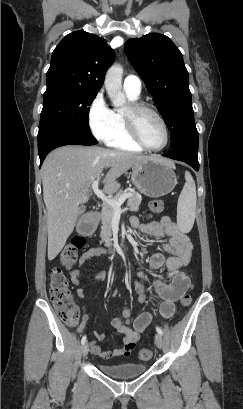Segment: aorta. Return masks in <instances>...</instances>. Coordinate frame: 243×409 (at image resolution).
Wrapping results in <instances>:
<instances>
[{
	"mask_svg": "<svg viewBox=\"0 0 243 409\" xmlns=\"http://www.w3.org/2000/svg\"><path fill=\"white\" fill-rule=\"evenodd\" d=\"M123 67L113 64L105 76V88L114 107H121L126 103V97L122 92Z\"/></svg>",
	"mask_w": 243,
	"mask_h": 409,
	"instance_id": "762f6f07",
	"label": "aorta"
}]
</instances>
